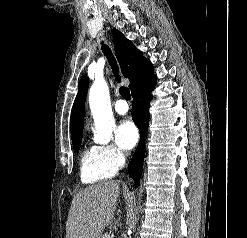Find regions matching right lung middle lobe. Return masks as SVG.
<instances>
[{"label": "right lung middle lobe", "mask_w": 247, "mask_h": 238, "mask_svg": "<svg viewBox=\"0 0 247 238\" xmlns=\"http://www.w3.org/2000/svg\"><path fill=\"white\" fill-rule=\"evenodd\" d=\"M81 141H82V140H79V141H77V142L73 143V149H74V151H76V152H78V151H79Z\"/></svg>", "instance_id": "obj_1"}]
</instances>
